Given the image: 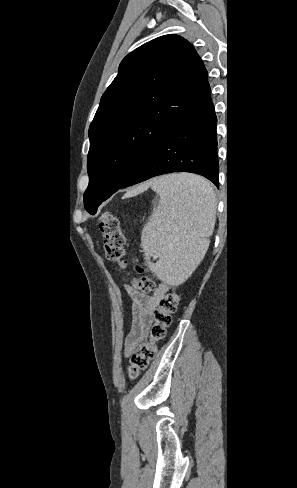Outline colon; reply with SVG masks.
<instances>
[{
	"label": "colon",
	"mask_w": 297,
	"mask_h": 488,
	"mask_svg": "<svg viewBox=\"0 0 297 488\" xmlns=\"http://www.w3.org/2000/svg\"><path fill=\"white\" fill-rule=\"evenodd\" d=\"M98 226L103 234L106 258L117 263L120 268L124 267L125 236L121 230L120 218L110 212H105L101 215ZM137 271L141 277L135 281V288L142 293L154 290V280L144 274L143 268L138 267ZM180 299L181 295L177 292L168 293L160 298L153 312V321L149 328V340L130 359L128 367L130 379H135L141 372L145 371L155 358L158 343L164 339L172 322V314L176 311Z\"/></svg>",
	"instance_id": "5ec220e1"
}]
</instances>
